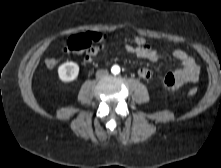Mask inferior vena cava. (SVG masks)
I'll return each mask as SVG.
<instances>
[{
	"mask_svg": "<svg viewBox=\"0 0 221 168\" xmlns=\"http://www.w3.org/2000/svg\"><path fill=\"white\" fill-rule=\"evenodd\" d=\"M108 76V71L107 70H98L96 72V78L101 79Z\"/></svg>",
	"mask_w": 221,
	"mask_h": 168,
	"instance_id": "obj_1",
	"label": "inferior vena cava"
}]
</instances>
